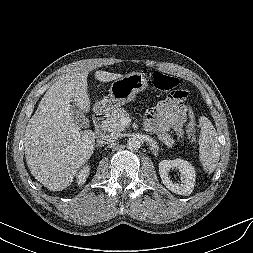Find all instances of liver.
<instances>
[{"label": "liver", "instance_id": "obj_1", "mask_svg": "<svg viewBox=\"0 0 253 253\" xmlns=\"http://www.w3.org/2000/svg\"><path fill=\"white\" fill-rule=\"evenodd\" d=\"M88 69L62 76L45 93L25 131V157L31 174L52 191L67 188L92 156L96 135L81 130L72 106L90 110ZM121 74L96 71L95 79L109 82Z\"/></svg>", "mask_w": 253, "mask_h": 253}]
</instances>
